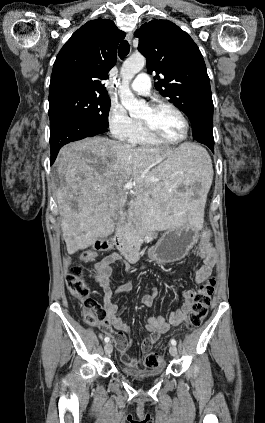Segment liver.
<instances>
[{"mask_svg": "<svg viewBox=\"0 0 265 423\" xmlns=\"http://www.w3.org/2000/svg\"><path fill=\"white\" fill-rule=\"evenodd\" d=\"M56 166L63 178L56 198L69 254L114 232L113 217L126 203L130 181L136 183L132 205L151 228L202 226V212L187 188L208 180L211 162L197 145L132 147L86 138L64 146Z\"/></svg>", "mask_w": 265, "mask_h": 423, "instance_id": "6515ba94", "label": "liver"}]
</instances>
